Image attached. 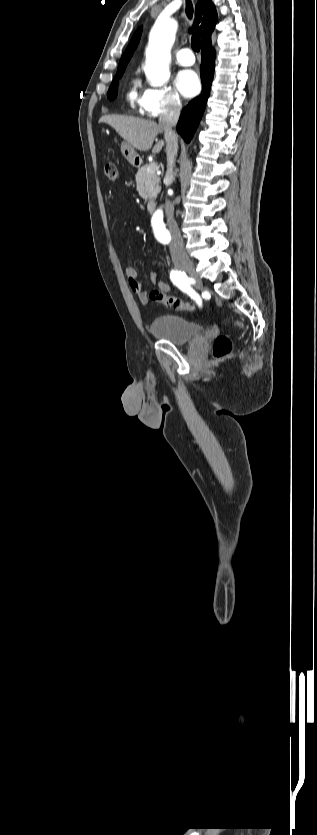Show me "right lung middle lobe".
<instances>
[{
    "label": "right lung middle lobe",
    "mask_w": 317,
    "mask_h": 835,
    "mask_svg": "<svg viewBox=\"0 0 317 835\" xmlns=\"http://www.w3.org/2000/svg\"><path fill=\"white\" fill-rule=\"evenodd\" d=\"M126 66L118 67L117 74L115 75L113 82L108 90V98L113 100L117 96V89H118V79H120L125 71Z\"/></svg>",
    "instance_id": "obj_1"
}]
</instances>
